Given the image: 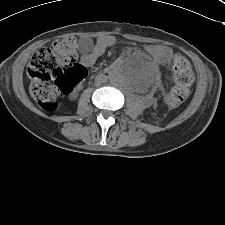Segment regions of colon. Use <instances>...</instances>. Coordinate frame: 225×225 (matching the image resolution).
I'll list each match as a JSON object with an SVG mask.
<instances>
[{
  "instance_id": "1",
  "label": "colon",
  "mask_w": 225,
  "mask_h": 225,
  "mask_svg": "<svg viewBox=\"0 0 225 225\" xmlns=\"http://www.w3.org/2000/svg\"><path fill=\"white\" fill-rule=\"evenodd\" d=\"M77 45L75 40L65 37L58 40L51 50L41 51L32 58L28 66V74L36 80L34 95L39 98L44 108L50 110L55 108L58 96L71 91L73 86L83 79L81 67L78 66L74 67V70L76 69L74 79L63 76L54 84L45 85L42 82V80H49L52 73L60 67L64 69L71 67L72 64L69 63L71 53ZM173 69L175 86L168 94L167 101L170 106L175 107L190 97L193 76L187 62L181 58H176Z\"/></svg>"
}]
</instances>
